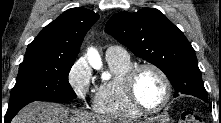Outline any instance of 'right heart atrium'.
Returning <instances> with one entry per match:
<instances>
[{
    "mask_svg": "<svg viewBox=\"0 0 221 123\" xmlns=\"http://www.w3.org/2000/svg\"><path fill=\"white\" fill-rule=\"evenodd\" d=\"M68 83L74 93L86 100L91 85V72L84 60L79 59L71 66L68 72Z\"/></svg>",
    "mask_w": 221,
    "mask_h": 123,
    "instance_id": "d8ad5b80",
    "label": "right heart atrium"
}]
</instances>
